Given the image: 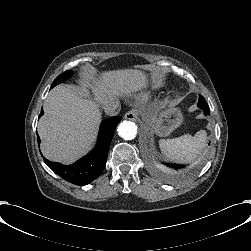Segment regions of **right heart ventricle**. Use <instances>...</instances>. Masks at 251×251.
I'll list each match as a JSON object with an SVG mask.
<instances>
[{
    "instance_id": "right-heart-ventricle-1",
    "label": "right heart ventricle",
    "mask_w": 251,
    "mask_h": 251,
    "mask_svg": "<svg viewBox=\"0 0 251 251\" xmlns=\"http://www.w3.org/2000/svg\"><path fill=\"white\" fill-rule=\"evenodd\" d=\"M151 95L150 91H145L144 93L141 94L140 99L141 100H147Z\"/></svg>"
}]
</instances>
